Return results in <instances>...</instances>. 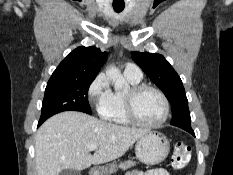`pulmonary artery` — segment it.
<instances>
[{
  "label": "pulmonary artery",
  "instance_id": "1",
  "mask_svg": "<svg viewBox=\"0 0 233 175\" xmlns=\"http://www.w3.org/2000/svg\"><path fill=\"white\" fill-rule=\"evenodd\" d=\"M124 75L135 80H140L142 78V72L140 68L134 63H127L125 65Z\"/></svg>",
  "mask_w": 233,
  "mask_h": 175
}]
</instances>
